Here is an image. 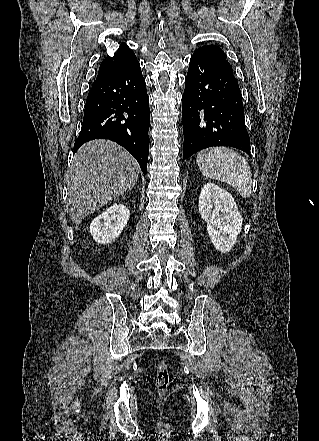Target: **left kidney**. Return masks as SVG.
Segmentation results:
<instances>
[{
  "mask_svg": "<svg viewBox=\"0 0 319 441\" xmlns=\"http://www.w3.org/2000/svg\"><path fill=\"white\" fill-rule=\"evenodd\" d=\"M199 212L212 244L222 253L229 252L243 224L233 197L214 183H206L200 192Z\"/></svg>",
  "mask_w": 319,
  "mask_h": 441,
  "instance_id": "5707ae66",
  "label": "left kidney"
}]
</instances>
